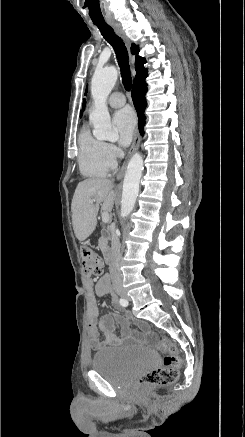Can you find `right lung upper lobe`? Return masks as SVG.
<instances>
[{"label":"right lung upper lobe","instance_id":"1","mask_svg":"<svg viewBox=\"0 0 245 437\" xmlns=\"http://www.w3.org/2000/svg\"><path fill=\"white\" fill-rule=\"evenodd\" d=\"M131 52L132 54H136V61H135L136 78L134 79V83H135L137 81L144 80L147 77V69L143 67V65L146 63V60L137 55V53L139 52V48L137 45L132 44Z\"/></svg>","mask_w":245,"mask_h":437}]
</instances>
